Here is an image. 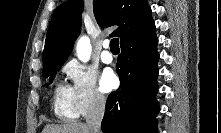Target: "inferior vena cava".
Masks as SVG:
<instances>
[{
  "instance_id": "1",
  "label": "inferior vena cava",
  "mask_w": 221,
  "mask_h": 133,
  "mask_svg": "<svg viewBox=\"0 0 221 133\" xmlns=\"http://www.w3.org/2000/svg\"><path fill=\"white\" fill-rule=\"evenodd\" d=\"M106 100L102 95H97L87 113L86 123L91 133H101V121L104 116Z\"/></svg>"
}]
</instances>
